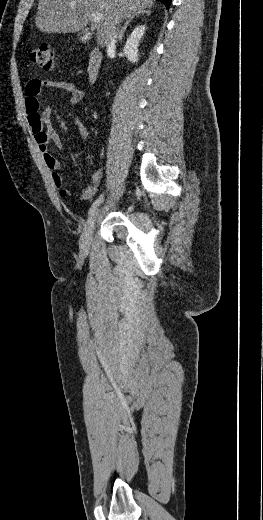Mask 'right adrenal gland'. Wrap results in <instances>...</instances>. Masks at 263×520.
Here are the masks:
<instances>
[{"label": "right adrenal gland", "instance_id": "2a0ac1e0", "mask_svg": "<svg viewBox=\"0 0 263 520\" xmlns=\"http://www.w3.org/2000/svg\"><path fill=\"white\" fill-rule=\"evenodd\" d=\"M150 10L148 9L147 11H142V12H138V13H135L134 15H132L129 20L126 21L124 27L122 28L120 34H119V41L122 40L123 36H124V33L127 29V26L129 25V23L135 18V17H139L140 15H144L146 14L147 16L150 15Z\"/></svg>", "mask_w": 263, "mask_h": 520}]
</instances>
